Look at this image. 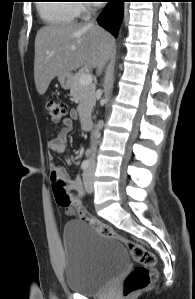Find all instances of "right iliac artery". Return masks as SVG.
I'll return each mask as SVG.
<instances>
[{
    "instance_id": "right-iliac-artery-1",
    "label": "right iliac artery",
    "mask_w": 195,
    "mask_h": 299,
    "mask_svg": "<svg viewBox=\"0 0 195 299\" xmlns=\"http://www.w3.org/2000/svg\"><path fill=\"white\" fill-rule=\"evenodd\" d=\"M89 165H90V161H89V160H84V161L81 163V169L85 171V170L88 169Z\"/></svg>"
}]
</instances>
